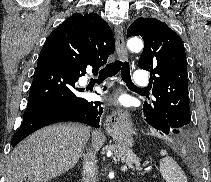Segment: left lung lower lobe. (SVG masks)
Returning a JSON list of instances; mask_svg holds the SVG:
<instances>
[{"instance_id":"obj_1","label":"left lung lower lobe","mask_w":211,"mask_h":182,"mask_svg":"<svg viewBox=\"0 0 211 182\" xmlns=\"http://www.w3.org/2000/svg\"><path fill=\"white\" fill-rule=\"evenodd\" d=\"M161 131V130H160ZM163 133L165 134H175L179 135V139L181 142L184 144H189V136L187 132L183 131L182 129H177V128H170L168 125L163 128Z\"/></svg>"}]
</instances>
